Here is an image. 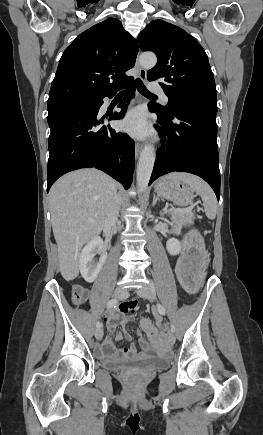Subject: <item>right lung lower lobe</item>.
<instances>
[{"label":"right lung lower lobe","mask_w":263,"mask_h":435,"mask_svg":"<svg viewBox=\"0 0 263 435\" xmlns=\"http://www.w3.org/2000/svg\"><path fill=\"white\" fill-rule=\"evenodd\" d=\"M124 86L128 91L118 107L120 113L99 117L98 112L104 97L94 103L56 109L48 113L49 160L47 167V192L63 174L80 169L95 167L104 171L123 184L125 189L132 182L135 156L134 142L125 133L117 132L104 120H118L124 117L127 105L134 95L133 80ZM123 86V87H124Z\"/></svg>","instance_id":"obj_1"}]
</instances>
